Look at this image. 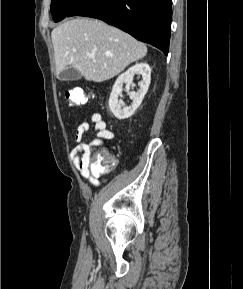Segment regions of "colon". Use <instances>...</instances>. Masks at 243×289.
<instances>
[{
  "mask_svg": "<svg viewBox=\"0 0 243 289\" xmlns=\"http://www.w3.org/2000/svg\"><path fill=\"white\" fill-rule=\"evenodd\" d=\"M70 106H81L88 102L92 97L91 93H87L81 88L68 90L65 94ZM115 166V159L106 151L101 150L93 155L91 168L95 174H103L111 171Z\"/></svg>",
  "mask_w": 243,
  "mask_h": 289,
  "instance_id": "obj_1",
  "label": "colon"
}]
</instances>
